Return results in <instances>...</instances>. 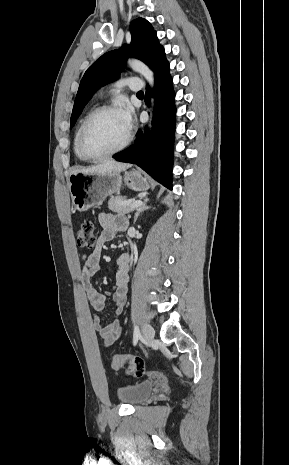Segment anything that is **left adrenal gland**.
I'll list each match as a JSON object with an SVG mask.
<instances>
[{"label": "left adrenal gland", "mask_w": 289, "mask_h": 465, "mask_svg": "<svg viewBox=\"0 0 289 465\" xmlns=\"http://www.w3.org/2000/svg\"><path fill=\"white\" fill-rule=\"evenodd\" d=\"M149 201L148 198H145L142 202V204L137 208L135 216H134V223L136 222L138 216L140 215L141 212L144 210H147L150 208V206H147V202Z\"/></svg>", "instance_id": "left-adrenal-gland-1"}]
</instances>
